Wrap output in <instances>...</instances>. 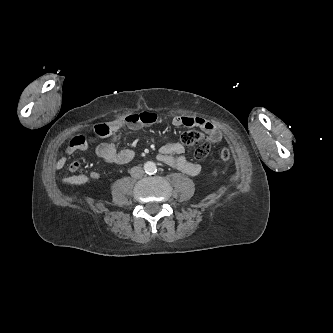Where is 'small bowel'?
Instances as JSON below:
<instances>
[{"label":"small bowel","instance_id":"obj_1","mask_svg":"<svg viewBox=\"0 0 333 333\" xmlns=\"http://www.w3.org/2000/svg\"><path fill=\"white\" fill-rule=\"evenodd\" d=\"M157 120V115L152 112H141L129 114L124 118L113 120L109 123L111 134L105 142L97 143L96 154L105 162L117 165L129 163L134 158V151L131 149L118 150L115 140L116 134L121 128L139 129L144 126L153 124ZM174 126L198 127L202 129L208 136V139L217 143L222 140V130L213 124L211 121L193 116L177 115L171 120ZM95 139L83 135L74 136L65 151L55 163L56 169L63 168L67 163V158L76 151H83L89 148L90 144L94 143ZM185 147L180 142H167L161 146L158 159L176 168L190 176H197L201 172L199 164L192 163L185 157ZM80 168V162L74 161L69 164V171L74 173ZM92 179H98L99 173L93 171L89 175ZM88 176L80 174L69 177L66 182L73 186L83 185L88 181Z\"/></svg>","mask_w":333,"mask_h":333}]
</instances>
